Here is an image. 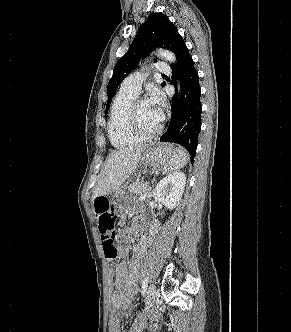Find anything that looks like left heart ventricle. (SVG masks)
<instances>
[{"instance_id": "obj_1", "label": "left heart ventricle", "mask_w": 291, "mask_h": 332, "mask_svg": "<svg viewBox=\"0 0 291 332\" xmlns=\"http://www.w3.org/2000/svg\"><path fill=\"white\" fill-rule=\"evenodd\" d=\"M138 121L143 130L152 131L160 124L161 117L157 109L146 100L139 104Z\"/></svg>"}]
</instances>
